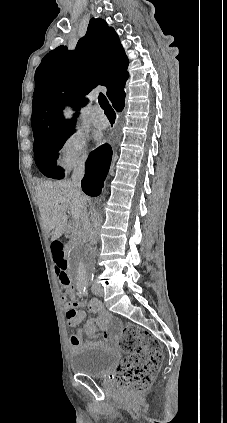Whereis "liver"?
<instances>
[{"label":"liver","mask_w":227,"mask_h":423,"mask_svg":"<svg viewBox=\"0 0 227 423\" xmlns=\"http://www.w3.org/2000/svg\"><path fill=\"white\" fill-rule=\"evenodd\" d=\"M37 204L43 221L44 229H47L49 237L58 239L65 231H73L68 223L67 210H77L80 213V221L84 227L89 223L87 210L84 211V204L88 198L79 192L71 180L62 182H43L36 188ZM58 200H66L59 202Z\"/></svg>","instance_id":"liver-1"}]
</instances>
